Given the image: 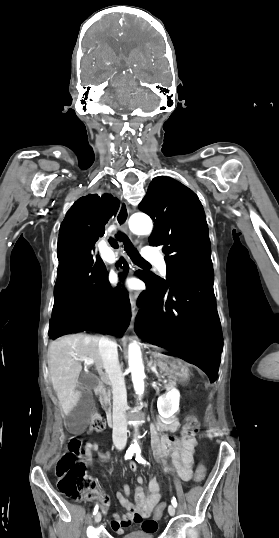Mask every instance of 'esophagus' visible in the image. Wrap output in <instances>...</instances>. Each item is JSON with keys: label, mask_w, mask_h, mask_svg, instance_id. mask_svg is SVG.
Returning a JSON list of instances; mask_svg holds the SVG:
<instances>
[{"label": "esophagus", "mask_w": 279, "mask_h": 538, "mask_svg": "<svg viewBox=\"0 0 279 538\" xmlns=\"http://www.w3.org/2000/svg\"><path fill=\"white\" fill-rule=\"evenodd\" d=\"M128 219H129V208L126 202L121 201L119 210L116 214L115 221L117 225L120 227V229L124 232H128ZM138 297L137 292H131L130 294V302H131V310H132V319H131V325L130 328L133 327L134 318H135V309H136V299Z\"/></svg>", "instance_id": "esophagus-1"}]
</instances>
